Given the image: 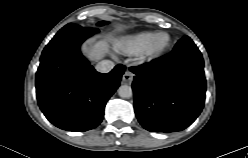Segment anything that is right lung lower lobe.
I'll list each match as a JSON object with an SVG mask.
<instances>
[{"mask_svg":"<svg viewBox=\"0 0 248 158\" xmlns=\"http://www.w3.org/2000/svg\"><path fill=\"white\" fill-rule=\"evenodd\" d=\"M96 28L61 29L44 48L36 73L40 109L55 126L67 131L97 127L108 99L120 85L125 66L97 72L80 52Z\"/></svg>","mask_w":248,"mask_h":158,"instance_id":"obj_1","label":"right lung lower lobe"}]
</instances>
